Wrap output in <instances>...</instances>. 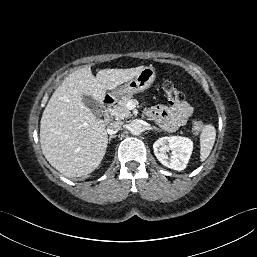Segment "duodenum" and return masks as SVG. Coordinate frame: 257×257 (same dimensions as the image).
Returning a JSON list of instances; mask_svg holds the SVG:
<instances>
[{
  "label": "duodenum",
  "mask_w": 257,
  "mask_h": 257,
  "mask_svg": "<svg viewBox=\"0 0 257 257\" xmlns=\"http://www.w3.org/2000/svg\"><path fill=\"white\" fill-rule=\"evenodd\" d=\"M114 102V98L111 96H105L103 98V119L105 122H109L111 120V109Z\"/></svg>",
  "instance_id": "410a0bca"
}]
</instances>
